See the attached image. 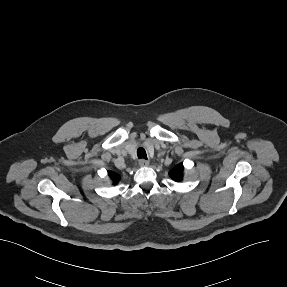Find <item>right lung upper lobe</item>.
Returning a JSON list of instances; mask_svg holds the SVG:
<instances>
[{
  "label": "right lung upper lobe",
  "mask_w": 287,
  "mask_h": 287,
  "mask_svg": "<svg viewBox=\"0 0 287 287\" xmlns=\"http://www.w3.org/2000/svg\"><path fill=\"white\" fill-rule=\"evenodd\" d=\"M108 174H109V177L113 180L114 184H116L119 181L120 176L117 175L116 173L109 171Z\"/></svg>",
  "instance_id": "right-lung-upper-lobe-1"
}]
</instances>
